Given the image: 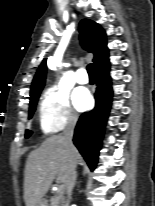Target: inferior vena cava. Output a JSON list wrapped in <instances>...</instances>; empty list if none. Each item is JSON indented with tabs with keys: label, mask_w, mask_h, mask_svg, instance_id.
I'll return each mask as SVG.
<instances>
[{
	"label": "inferior vena cava",
	"mask_w": 155,
	"mask_h": 206,
	"mask_svg": "<svg viewBox=\"0 0 155 206\" xmlns=\"http://www.w3.org/2000/svg\"><path fill=\"white\" fill-rule=\"evenodd\" d=\"M76 118L74 117H70L68 119L67 125L64 129V133H63V139L65 142V146L67 148V151L70 155V168H69V177H68V181L66 183V192H67V200L64 201V205L63 206H69V200L71 197V193L73 190V187L75 185V180H76V162L73 159L72 153L74 150V146L72 143V138H73V134H74V129L76 126Z\"/></svg>",
	"instance_id": "1"
}]
</instances>
